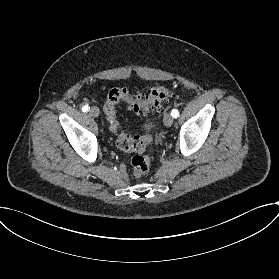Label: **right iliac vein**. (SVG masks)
<instances>
[{
	"instance_id": "right-iliac-vein-1",
	"label": "right iliac vein",
	"mask_w": 279,
	"mask_h": 279,
	"mask_svg": "<svg viewBox=\"0 0 279 279\" xmlns=\"http://www.w3.org/2000/svg\"><path fill=\"white\" fill-rule=\"evenodd\" d=\"M93 117H98L99 115V109L95 106H93L91 109H90V113Z\"/></svg>"
}]
</instances>
